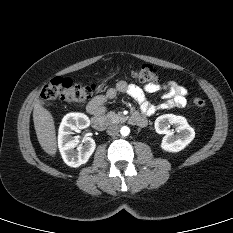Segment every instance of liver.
Segmentation results:
<instances>
[{
  "mask_svg": "<svg viewBox=\"0 0 233 233\" xmlns=\"http://www.w3.org/2000/svg\"><path fill=\"white\" fill-rule=\"evenodd\" d=\"M33 121L40 146L47 154L54 156L57 152L54 120L51 113L42 106L39 99L34 105Z\"/></svg>",
  "mask_w": 233,
  "mask_h": 233,
  "instance_id": "6515ba94",
  "label": "liver"
}]
</instances>
